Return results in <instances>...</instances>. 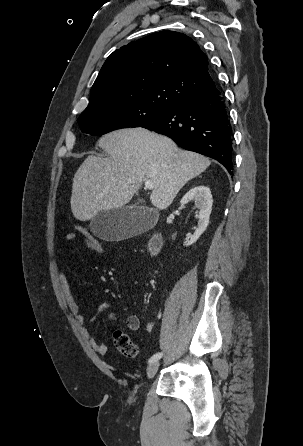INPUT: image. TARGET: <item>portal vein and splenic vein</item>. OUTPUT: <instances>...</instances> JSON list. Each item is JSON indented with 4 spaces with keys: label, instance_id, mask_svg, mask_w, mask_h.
Returning a JSON list of instances; mask_svg holds the SVG:
<instances>
[{
    "label": "portal vein and splenic vein",
    "instance_id": "obj_1",
    "mask_svg": "<svg viewBox=\"0 0 303 446\" xmlns=\"http://www.w3.org/2000/svg\"><path fill=\"white\" fill-rule=\"evenodd\" d=\"M145 187L148 189H153V182L151 180H146Z\"/></svg>",
    "mask_w": 303,
    "mask_h": 446
}]
</instances>
